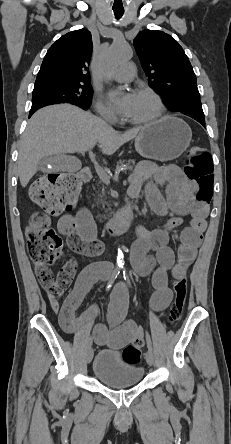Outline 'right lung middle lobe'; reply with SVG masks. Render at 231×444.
Returning a JSON list of instances; mask_svg holds the SVG:
<instances>
[{
	"mask_svg": "<svg viewBox=\"0 0 231 444\" xmlns=\"http://www.w3.org/2000/svg\"><path fill=\"white\" fill-rule=\"evenodd\" d=\"M92 87L89 84L51 83L35 86L32 93V108H41L55 103H71L83 109L91 104Z\"/></svg>",
	"mask_w": 231,
	"mask_h": 444,
	"instance_id": "obj_1",
	"label": "right lung middle lobe"
}]
</instances>
